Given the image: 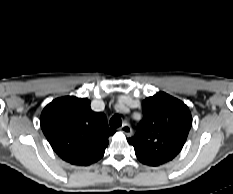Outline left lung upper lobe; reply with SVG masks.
<instances>
[{
  "instance_id": "left-lung-upper-lobe-1",
  "label": "left lung upper lobe",
  "mask_w": 233,
  "mask_h": 194,
  "mask_svg": "<svg viewBox=\"0 0 233 194\" xmlns=\"http://www.w3.org/2000/svg\"><path fill=\"white\" fill-rule=\"evenodd\" d=\"M142 111L136 134L127 141L142 163L157 166L171 161L181 151L192 125L188 107L158 92L142 102Z\"/></svg>"
}]
</instances>
